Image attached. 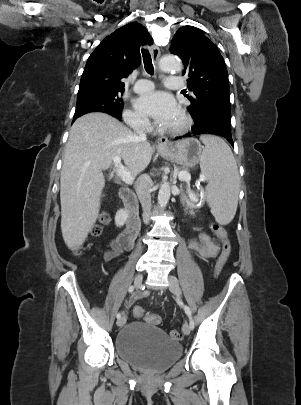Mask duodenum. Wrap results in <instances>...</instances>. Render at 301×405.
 Listing matches in <instances>:
<instances>
[{
	"instance_id": "obj_1",
	"label": "duodenum",
	"mask_w": 301,
	"mask_h": 405,
	"mask_svg": "<svg viewBox=\"0 0 301 405\" xmlns=\"http://www.w3.org/2000/svg\"><path fill=\"white\" fill-rule=\"evenodd\" d=\"M120 197L127 212L126 226L120 235V240L122 246L129 250L133 247V242L139 228V221L136 216L137 201L133 191L126 187L120 190ZM112 204L114 205L115 203L113 202Z\"/></svg>"
}]
</instances>
